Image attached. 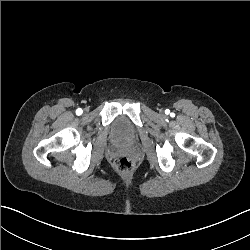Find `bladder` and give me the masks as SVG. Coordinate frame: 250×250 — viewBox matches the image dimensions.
Segmentation results:
<instances>
[{
  "instance_id": "1",
  "label": "bladder",
  "mask_w": 250,
  "mask_h": 250,
  "mask_svg": "<svg viewBox=\"0 0 250 250\" xmlns=\"http://www.w3.org/2000/svg\"><path fill=\"white\" fill-rule=\"evenodd\" d=\"M110 131L121 142H133L137 136V131L124 115H119L112 120Z\"/></svg>"
}]
</instances>
